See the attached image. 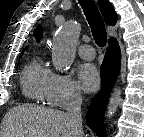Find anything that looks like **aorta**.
<instances>
[{
	"label": "aorta",
	"mask_w": 144,
	"mask_h": 137,
	"mask_svg": "<svg viewBox=\"0 0 144 137\" xmlns=\"http://www.w3.org/2000/svg\"><path fill=\"white\" fill-rule=\"evenodd\" d=\"M80 24L69 20L59 30L53 40L52 61L59 69H68L75 58L76 46L80 35ZM121 99V90L114 88L110 95L106 117L111 118L116 113Z\"/></svg>",
	"instance_id": "aorta-1"
}]
</instances>
